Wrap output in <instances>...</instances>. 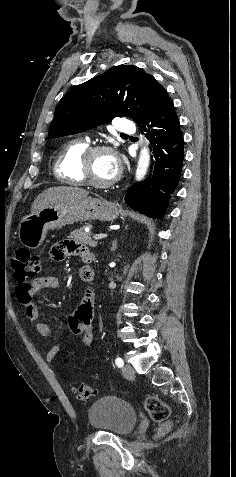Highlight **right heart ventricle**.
Masks as SVG:
<instances>
[{
  "label": "right heart ventricle",
  "mask_w": 236,
  "mask_h": 477,
  "mask_svg": "<svg viewBox=\"0 0 236 477\" xmlns=\"http://www.w3.org/2000/svg\"><path fill=\"white\" fill-rule=\"evenodd\" d=\"M88 148V143L81 140L67 142L54 162L56 178L65 184L82 185L84 181L80 174V160Z\"/></svg>",
  "instance_id": "e07e8e85"
}]
</instances>
